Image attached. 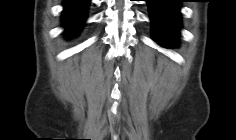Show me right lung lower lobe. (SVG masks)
<instances>
[{"label": "right lung lower lobe", "instance_id": "right-lung-lower-lobe-1", "mask_svg": "<svg viewBox=\"0 0 236 140\" xmlns=\"http://www.w3.org/2000/svg\"><path fill=\"white\" fill-rule=\"evenodd\" d=\"M90 0H64L62 22L68 36L80 31L86 20Z\"/></svg>", "mask_w": 236, "mask_h": 140}]
</instances>
